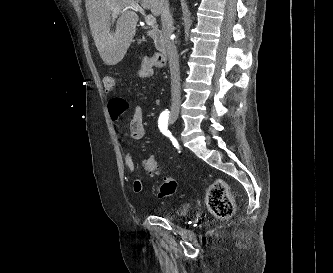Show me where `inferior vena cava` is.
<instances>
[{"label": "inferior vena cava", "mask_w": 333, "mask_h": 273, "mask_svg": "<svg viewBox=\"0 0 333 273\" xmlns=\"http://www.w3.org/2000/svg\"><path fill=\"white\" fill-rule=\"evenodd\" d=\"M162 32L166 45V50L169 59V67L171 74V97L172 106L171 111L178 113L181 104V86H180V71H179V56L176 46L171 39L174 25L173 18L169 10L168 0H160Z\"/></svg>", "instance_id": "602c4592"}]
</instances>
